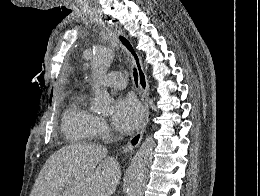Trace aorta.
Returning a JSON list of instances; mask_svg holds the SVG:
<instances>
[{"mask_svg":"<svg viewBox=\"0 0 260 196\" xmlns=\"http://www.w3.org/2000/svg\"><path fill=\"white\" fill-rule=\"evenodd\" d=\"M114 58V51L110 48L101 47L95 50L91 61L92 74L100 79L110 68ZM111 97L107 90L97 89L95 91L94 105L102 113L110 110ZM154 140L152 135L146 137L131 160L129 167L128 185L126 196H143L148 177V171L152 163Z\"/></svg>","mask_w":260,"mask_h":196,"instance_id":"762f6f07","label":"aorta"}]
</instances>
